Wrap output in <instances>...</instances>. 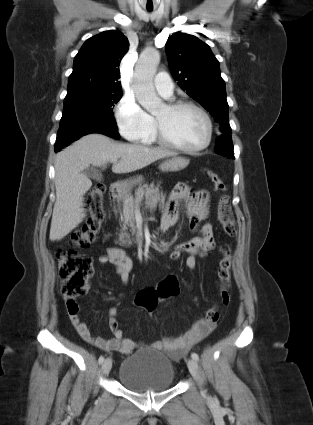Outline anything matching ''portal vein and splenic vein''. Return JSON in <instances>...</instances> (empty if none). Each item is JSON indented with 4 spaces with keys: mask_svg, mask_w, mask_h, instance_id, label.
I'll list each match as a JSON object with an SVG mask.
<instances>
[{
    "mask_svg": "<svg viewBox=\"0 0 313 425\" xmlns=\"http://www.w3.org/2000/svg\"><path fill=\"white\" fill-rule=\"evenodd\" d=\"M111 162H112V163H116V162H117V160L113 159V160H111Z\"/></svg>",
    "mask_w": 313,
    "mask_h": 425,
    "instance_id": "18ae733b",
    "label": "portal vein and splenic vein"
}]
</instances>
